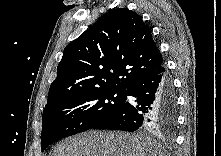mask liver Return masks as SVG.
Masks as SVG:
<instances>
[{
    "label": "liver",
    "mask_w": 221,
    "mask_h": 156,
    "mask_svg": "<svg viewBox=\"0 0 221 156\" xmlns=\"http://www.w3.org/2000/svg\"><path fill=\"white\" fill-rule=\"evenodd\" d=\"M52 156H163V148L143 135L88 131L61 141Z\"/></svg>",
    "instance_id": "liver-1"
}]
</instances>
